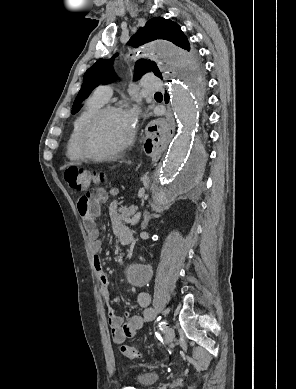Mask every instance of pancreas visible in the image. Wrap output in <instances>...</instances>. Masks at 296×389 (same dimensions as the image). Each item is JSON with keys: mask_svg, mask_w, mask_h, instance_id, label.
<instances>
[{"mask_svg": "<svg viewBox=\"0 0 296 389\" xmlns=\"http://www.w3.org/2000/svg\"><path fill=\"white\" fill-rule=\"evenodd\" d=\"M135 212H136V207L134 206H130V207L122 206L119 208V219L121 221L131 224V220H132L131 217L135 214Z\"/></svg>", "mask_w": 296, "mask_h": 389, "instance_id": "pancreas-1", "label": "pancreas"}]
</instances>
